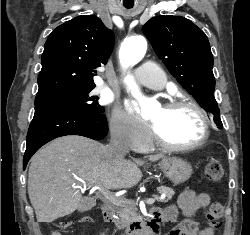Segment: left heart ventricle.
<instances>
[{
    "label": "left heart ventricle",
    "instance_id": "b2bd125f",
    "mask_svg": "<svg viewBox=\"0 0 250 235\" xmlns=\"http://www.w3.org/2000/svg\"><path fill=\"white\" fill-rule=\"evenodd\" d=\"M165 141L175 145L194 142L201 133V120L195 110L183 106L174 109L157 107L148 116Z\"/></svg>",
    "mask_w": 250,
    "mask_h": 235
}]
</instances>
